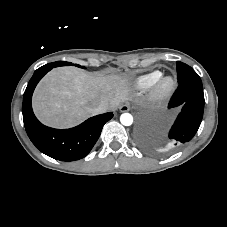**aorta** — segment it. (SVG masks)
I'll return each instance as SVG.
<instances>
[{
	"label": "aorta",
	"instance_id": "762f6f07",
	"mask_svg": "<svg viewBox=\"0 0 227 227\" xmlns=\"http://www.w3.org/2000/svg\"><path fill=\"white\" fill-rule=\"evenodd\" d=\"M120 122L124 126H130L133 123V117L130 113H123L120 116Z\"/></svg>",
	"mask_w": 227,
	"mask_h": 227
}]
</instances>
